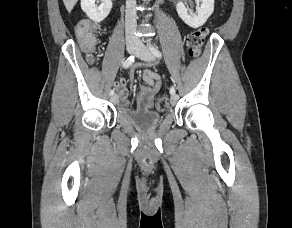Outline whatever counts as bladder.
Here are the masks:
<instances>
[{
  "label": "bladder",
  "mask_w": 292,
  "mask_h": 228,
  "mask_svg": "<svg viewBox=\"0 0 292 228\" xmlns=\"http://www.w3.org/2000/svg\"><path fill=\"white\" fill-rule=\"evenodd\" d=\"M122 116L134 127L147 130L155 128L161 122V116L152 110L145 112H123Z\"/></svg>",
  "instance_id": "obj_1"
}]
</instances>
